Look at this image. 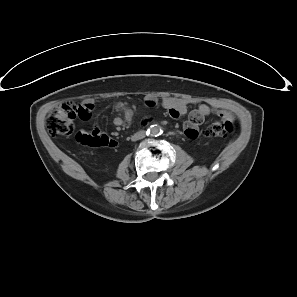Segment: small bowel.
<instances>
[{
    "label": "small bowel",
    "instance_id": "c3829d8e",
    "mask_svg": "<svg viewBox=\"0 0 297 297\" xmlns=\"http://www.w3.org/2000/svg\"><path fill=\"white\" fill-rule=\"evenodd\" d=\"M162 103L170 115L174 118H177L180 115H184L188 112L189 101L186 99L167 97L163 99ZM146 105L154 106L155 100L153 98H147ZM117 109L121 112L122 117H117L114 119L115 126L120 127L131 122L133 118V111L130 107L120 103L117 105ZM216 111H218V109L210 107L206 104H200L195 109H193L190 112L189 119L185 122L186 134L188 137L196 138L198 136L197 126L206 116Z\"/></svg>",
    "mask_w": 297,
    "mask_h": 297
}]
</instances>
